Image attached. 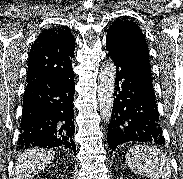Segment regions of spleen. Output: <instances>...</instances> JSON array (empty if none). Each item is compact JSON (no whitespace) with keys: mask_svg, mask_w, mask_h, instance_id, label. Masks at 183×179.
Returning a JSON list of instances; mask_svg holds the SVG:
<instances>
[{"mask_svg":"<svg viewBox=\"0 0 183 179\" xmlns=\"http://www.w3.org/2000/svg\"><path fill=\"white\" fill-rule=\"evenodd\" d=\"M126 164L135 173L150 179H170L172 168L168 157L158 148L136 145L125 156Z\"/></svg>","mask_w":183,"mask_h":179,"instance_id":"spleen-1","label":"spleen"}]
</instances>
